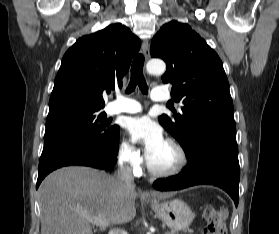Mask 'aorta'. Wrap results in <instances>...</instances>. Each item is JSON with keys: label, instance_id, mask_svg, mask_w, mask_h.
<instances>
[{"label": "aorta", "instance_id": "762f6f07", "mask_svg": "<svg viewBox=\"0 0 279 234\" xmlns=\"http://www.w3.org/2000/svg\"><path fill=\"white\" fill-rule=\"evenodd\" d=\"M146 70L149 74L161 75L166 70V64L160 59H152L147 63Z\"/></svg>", "mask_w": 279, "mask_h": 234}]
</instances>
